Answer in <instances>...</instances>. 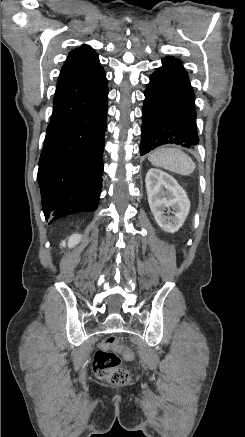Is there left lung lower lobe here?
Returning a JSON list of instances; mask_svg holds the SVG:
<instances>
[{
    "instance_id": "1",
    "label": "left lung lower lobe",
    "mask_w": 245,
    "mask_h": 437,
    "mask_svg": "<svg viewBox=\"0 0 245 437\" xmlns=\"http://www.w3.org/2000/svg\"><path fill=\"white\" fill-rule=\"evenodd\" d=\"M142 110L140 154L165 144H198L195 95L179 59L165 57L150 76Z\"/></svg>"
}]
</instances>
